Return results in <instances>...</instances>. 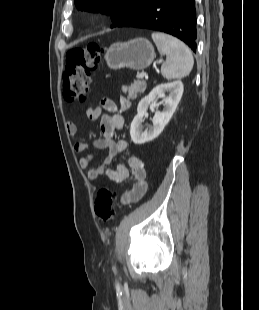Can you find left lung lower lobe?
<instances>
[{"mask_svg":"<svg viewBox=\"0 0 259 310\" xmlns=\"http://www.w3.org/2000/svg\"><path fill=\"white\" fill-rule=\"evenodd\" d=\"M124 26L171 34L185 42L194 52L196 51L195 0H152L114 27Z\"/></svg>","mask_w":259,"mask_h":310,"instance_id":"left-lung-lower-lobe-1","label":"left lung lower lobe"}]
</instances>
